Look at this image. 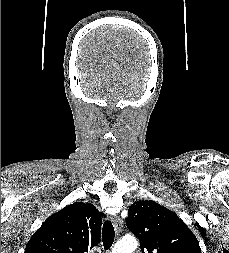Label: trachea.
I'll use <instances>...</instances> for the list:
<instances>
[{"label": "trachea", "mask_w": 229, "mask_h": 253, "mask_svg": "<svg viewBox=\"0 0 229 253\" xmlns=\"http://www.w3.org/2000/svg\"><path fill=\"white\" fill-rule=\"evenodd\" d=\"M115 231L110 221H105L102 229V241L105 250H109L113 244Z\"/></svg>", "instance_id": "trachea-1"}]
</instances>
